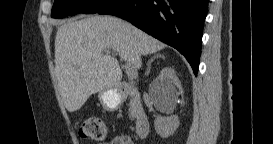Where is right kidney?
<instances>
[{
	"label": "right kidney",
	"mask_w": 273,
	"mask_h": 144,
	"mask_svg": "<svg viewBox=\"0 0 273 144\" xmlns=\"http://www.w3.org/2000/svg\"><path fill=\"white\" fill-rule=\"evenodd\" d=\"M153 83L159 88L160 97L163 101L176 100L178 95L176 87L180 89L181 84L175 75L174 69L169 67L162 69ZM179 124L178 116L171 115L169 117L157 118L154 122V127L162 138H168L179 127Z\"/></svg>",
	"instance_id": "right-kidney-1"
}]
</instances>
